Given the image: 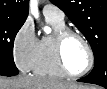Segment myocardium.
<instances>
[{
    "instance_id": "1",
    "label": "myocardium",
    "mask_w": 107,
    "mask_h": 89,
    "mask_svg": "<svg viewBox=\"0 0 107 89\" xmlns=\"http://www.w3.org/2000/svg\"><path fill=\"white\" fill-rule=\"evenodd\" d=\"M75 36L79 38L85 45L88 55H89V61L87 67L79 73H72L68 70L65 60H64V44L66 40L69 37ZM53 46H54V54H55V59L56 62L61 69V71L65 74V76L70 77V78H78L82 77L85 74H87L94 65V52L93 49L88 41V39L79 31L69 29V28H64L58 32L55 33L54 38H53Z\"/></svg>"
}]
</instances>
